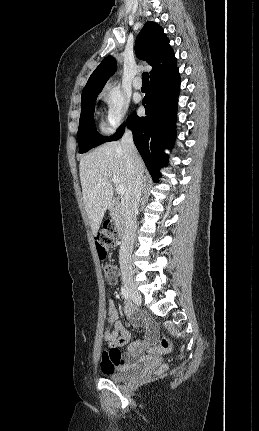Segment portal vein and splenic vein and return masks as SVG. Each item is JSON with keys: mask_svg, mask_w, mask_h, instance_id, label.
<instances>
[{"mask_svg": "<svg viewBox=\"0 0 259 431\" xmlns=\"http://www.w3.org/2000/svg\"><path fill=\"white\" fill-rule=\"evenodd\" d=\"M111 181L116 184V192L120 195L124 194L126 189L123 184L120 183L118 176L113 175Z\"/></svg>", "mask_w": 259, "mask_h": 431, "instance_id": "1", "label": "portal vein and splenic vein"}]
</instances>
